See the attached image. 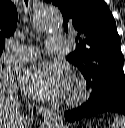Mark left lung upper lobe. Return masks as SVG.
I'll list each match as a JSON object with an SVG mask.
<instances>
[{"mask_svg":"<svg viewBox=\"0 0 125 128\" xmlns=\"http://www.w3.org/2000/svg\"><path fill=\"white\" fill-rule=\"evenodd\" d=\"M57 6L64 30L74 32L76 49L67 60L78 67L96 100L108 86L125 81L116 23L104 0H45Z\"/></svg>","mask_w":125,"mask_h":128,"instance_id":"obj_1","label":"left lung upper lobe"}]
</instances>
